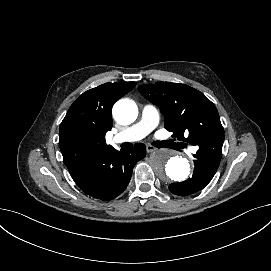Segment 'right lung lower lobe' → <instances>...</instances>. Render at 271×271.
I'll list each match as a JSON object with an SVG mask.
<instances>
[{
    "mask_svg": "<svg viewBox=\"0 0 271 271\" xmlns=\"http://www.w3.org/2000/svg\"><path fill=\"white\" fill-rule=\"evenodd\" d=\"M145 155L144 144H136L132 149L121 151L109 146L70 174L84 193L109 201L126 189L134 165Z\"/></svg>",
    "mask_w": 271,
    "mask_h": 271,
    "instance_id": "right-lung-lower-lobe-1",
    "label": "right lung lower lobe"
}]
</instances>
